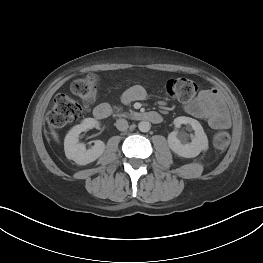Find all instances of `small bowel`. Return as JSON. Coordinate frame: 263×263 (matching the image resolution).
Masks as SVG:
<instances>
[{
	"mask_svg": "<svg viewBox=\"0 0 263 263\" xmlns=\"http://www.w3.org/2000/svg\"><path fill=\"white\" fill-rule=\"evenodd\" d=\"M145 97V88L134 85L123 93L122 101L128 104L144 100ZM184 109L191 116L205 120L214 129H225L230 126L231 120L226 106L215 89L202 90L196 98L185 104Z\"/></svg>",
	"mask_w": 263,
	"mask_h": 263,
	"instance_id": "1",
	"label": "small bowel"
}]
</instances>
